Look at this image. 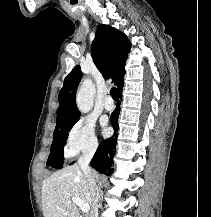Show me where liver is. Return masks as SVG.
<instances>
[{"mask_svg": "<svg viewBox=\"0 0 211 217\" xmlns=\"http://www.w3.org/2000/svg\"><path fill=\"white\" fill-rule=\"evenodd\" d=\"M95 180L99 175L92 171ZM80 198L92 205L88 180L77 164L63 168L42 183V209L44 217H82L72 198Z\"/></svg>", "mask_w": 211, "mask_h": 217, "instance_id": "liver-1", "label": "liver"}]
</instances>
